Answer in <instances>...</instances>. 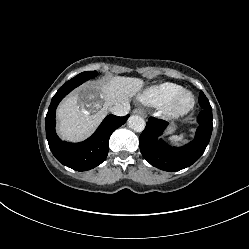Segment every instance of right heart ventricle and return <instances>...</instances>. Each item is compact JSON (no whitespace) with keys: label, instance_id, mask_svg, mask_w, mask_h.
<instances>
[{"label":"right heart ventricle","instance_id":"obj_1","mask_svg":"<svg viewBox=\"0 0 249 249\" xmlns=\"http://www.w3.org/2000/svg\"><path fill=\"white\" fill-rule=\"evenodd\" d=\"M183 88L175 83L164 82L147 88L140 100L150 106H165Z\"/></svg>","mask_w":249,"mask_h":249}]
</instances>
